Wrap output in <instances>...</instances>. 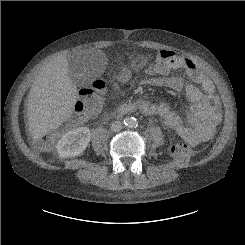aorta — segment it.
Segmentation results:
<instances>
[{"label": "aorta", "mask_w": 245, "mask_h": 245, "mask_svg": "<svg viewBox=\"0 0 245 245\" xmlns=\"http://www.w3.org/2000/svg\"><path fill=\"white\" fill-rule=\"evenodd\" d=\"M126 125L129 128H136L138 126V122L135 118L131 117L126 120Z\"/></svg>", "instance_id": "762f6f07"}]
</instances>
